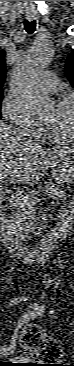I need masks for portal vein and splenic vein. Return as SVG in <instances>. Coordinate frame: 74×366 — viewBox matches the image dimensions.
Wrapping results in <instances>:
<instances>
[{
  "label": "portal vein and splenic vein",
  "instance_id": "1",
  "mask_svg": "<svg viewBox=\"0 0 74 366\" xmlns=\"http://www.w3.org/2000/svg\"><path fill=\"white\" fill-rule=\"evenodd\" d=\"M6 194L10 195V197H21L23 200L27 201L29 199L28 195H23L22 191L17 190L16 192H13V190L5 189L4 190Z\"/></svg>",
  "mask_w": 74,
  "mask_h": 366
}]
</instances>
